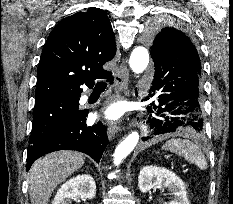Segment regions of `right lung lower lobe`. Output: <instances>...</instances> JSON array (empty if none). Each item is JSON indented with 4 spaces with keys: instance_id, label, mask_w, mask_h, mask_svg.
Here are the masks:
<instances>
[{
    "instance_id": "98d812e1",
    "label": "right lung lower lobe",
    "mask_w": 233,
    "mask_h": 204,
    "mask_svg": "<svg viewBox=\"0 0 233 204\" xmlns=\"http://www.w3.org/2000/svg\"><path fill=\"white\" fill-rule=\"evenodd\" d=\"M106 78L112 83L111 74ZM86 116V111H78L52 133L30 145L27 153V171L39 157L64 149L80 151L99 162L108 143L106 127L101 122L87 127Z\"/></svg>"
}]
</instances>
